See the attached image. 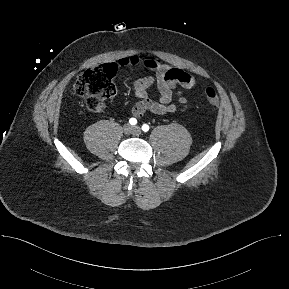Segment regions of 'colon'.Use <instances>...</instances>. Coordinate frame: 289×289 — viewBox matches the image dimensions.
<instances>
[{"label": "colon", "mask_w": 289, "mask_h": 289, "mask_svg": "<svg viewBox=\"0 0 289 289\" xmlns=\"http://www.w3.org/2000/svg\"><path fill=\"white\" fill-rule=\"evenodd\" d=\"M114 73L115 66L112 64L90 68L77 78L73 92L85 99L91 111L99 112L104 108L105 101L116 92L112 81ZM205 97L211 105H219V98L213 88L205 89Z\"/></svg>", "instance_id": "obj_1"}]
</instances>
